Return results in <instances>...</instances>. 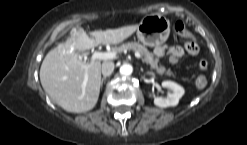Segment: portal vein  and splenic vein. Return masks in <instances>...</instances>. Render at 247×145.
Here are the masks:
<instances>
[{"label": "portal vein and splenic vein", "mask_w": 247, "mask_h": 145, "mask_svg": "<svg viewBox=\"0 0 247 145\" xmlns=\"http://www.w3.org/2000/svg\"><path fill=\"white\" fill-rule=\"evenodd\" d=\"M117 56V52L115 51H111V52H95L93 55H92V62H94L95 60L97 59H100V60H109V59H114L116 58ZM135 56L138 58V59H141V54L139 52H135ZM88 80V74L86 73L85 74V80H84V85L86 84Z\"/></svg>", "instance_id": "obj_1"}]
</instances>
